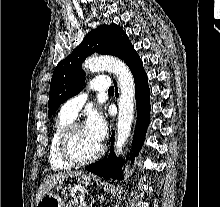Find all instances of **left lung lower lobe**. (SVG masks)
<instances>
[{
	"label": "left lung lower lobe",
	"instance_id": "0a47b994",
	"mask_svg": "<svg viewBox=\"0 0 220 207\" xmlns=\"http://www.w3.org/2000/svg\"><path fill=\"white\" fill-rule=\"evenodd\" d=\"M124 62L130 68L136 88V104H137V124L135 128L133 149L138 151L144 141L147 126L150 121V89L148 86L147 75L143 69L142 61L139 58L137 52L134 48L125 58ZM114 135V131L112 132ZM113 143L114 138H111V148L108 158L97 161L91 164L86 169L96 175L102 176L104 178L111 177L113 179H122L119 166L120 159L114 157L113 154Z\"/></svg>",
	"mask_w": 220,
	"mask_h": 207
}]
</instances>
